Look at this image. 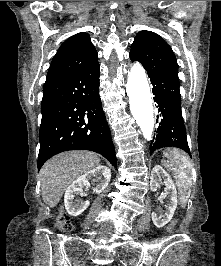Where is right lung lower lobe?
<instances>
[{
	"label": "right lung lower lobe",
	"instance_id": "right-lung-lower-lobe-1",
	"mask_svg": "<svg viewBox=\"0 0 221 266\" xmlns=\"http://www.w3.org/2000/svg\"><path fill=\"white\" fill-rule=\"evenodd\" d=\"M98 61L75 74L44 85L38 170L50 157L68 150H90L116 167L111 132L99 96Z\"/></svg>",
	"mask_w": 221,
	"mask_h": 266
}]
</instances>
